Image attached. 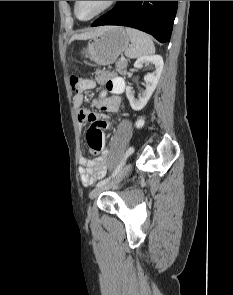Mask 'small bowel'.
Returning <instances> with one entry per match:
<instances>
[{"mask_svg":"<svg viewBox=\"0 0 233 295\" xmlns=\"http://www.w3.org/2000/svg\"><path fill=\"white\" fill-rule=\"evenodd\" d=\"M97 81L105 85L106 90L111 94V96H107L105 93H102L99 97L93 100L94 105L103 112H117L121 106V99L119 95L125 90L124 79L115 76L113 73L99 71L97 73ZM84 100L85 98L82 93L76 94L73 98L74 105L76 106L78 122L80 124L90 122L91 126L108 129L111 126L110 119L104 114L91 113L88 109L84 108ZM106 158V153L93 159H88L84 155L80 156L79 176L83 185H91L105 176Z\"/></svg>","mask_w":233,"mask_h":295,"instance_id":"small-bowel-1","label":"small bowel"}]
</instances>
